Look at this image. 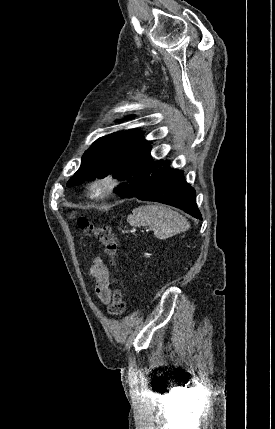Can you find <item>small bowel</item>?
Instances as JSON below:
<instances>
[{
    "label": "small bowel",
    "mask_w": 275,
    "mask_h": 429,
    "mask_svg": "<svg viewBox=\"0 0 275 429\" xmlns=\"http://www.w3.org/2000/svg\"><path fill=\"white\" fill-rule=\"evenodd\" d=\"M90 273L95 283V293L97 297L104 303L108 304L111 300L110 281L112 278L111 272L102 261L97 258L92 263Z\"/></svg>",
    "instance_id": "small-bowel-1"
}]
</instances>
